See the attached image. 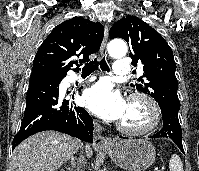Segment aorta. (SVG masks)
I'll return each instance as SVG.
<instances>
[{
    "mask_svg": "<svg viewBox=\"0 0 199 171\" xmlns=\"http://www.w3.org/2000/svg\"><path fill=\"white\" fill-rule=\"evenodd\" d=\"M108 52L113 57H122L127 53V45L123 40H112L108 45Z\"/></svg>",
    "mask_w": 199,
    "mask_h": 171,
    "instance_id": "aorta-1",
    "label": "aorta"
}]
</instances>
